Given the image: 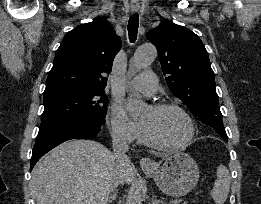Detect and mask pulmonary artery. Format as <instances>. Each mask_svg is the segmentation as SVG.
<instances>
[{
  "label": "pulmonary artery",
  "instance_id": "obj_1",
  "mask_svg": "<svg viewBox=\"0 0 261 204\" xmlns=\"http://www.w3.org/2000/svg\"><path fill=\"white\" fill-rule=\"evenodd\" d=\"M130 86L146 95H153L157 91V78L151 71H145L130 81Z\"/></svg>",
  "mask_w": 261,
  "mask_h": 204
}]
</instances>
